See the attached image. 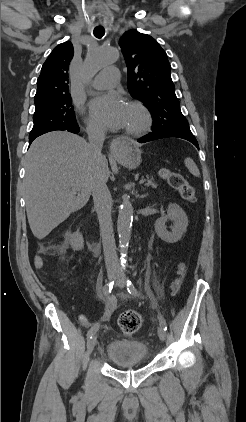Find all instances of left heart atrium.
I'll return each mask as SVG.
<instances>
[{"label": "left heart atrium", "mask_w": 246, "mask_h": 422, "mask_svg": "<svg viewBox=\"0 0 246 422\" xmlns=\"http://www.w3.org/2000/svg\"><path fill=\"white\" fill-rule=\"evenodd\" d=\"M127 104L118 93H108L93 99L89 105L91 117L101 125L118 129L125 125Z\"/></svg>", "instance_id": "39dd6f15"}]
</instances>
